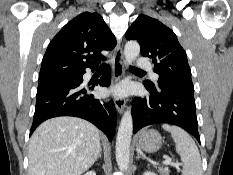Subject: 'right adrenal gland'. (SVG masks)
Returning a JSON list of instances; mask_svg holds the SVG:
<instances>
[{"mask_svg": "<svg viewBox=\"0 0 233 175\" xmlns=\"http://www.w3.org/2000/svg\"><path fill=\"white\" fill-rule=\"evenodd\" d=\"M101 152H102V148H100V151H99V154H98L96 161L98 160V158H101Z\"/></svg>", "mask_w": 233, "mask_h": 175, "instance_id": "2a0ac1e0", "label": "right adrenal gland"}]
</instances>
